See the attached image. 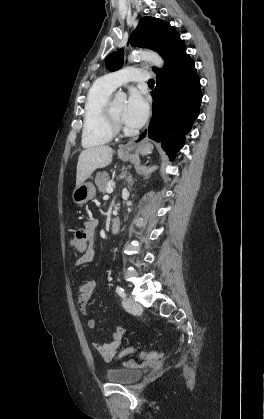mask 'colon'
Returning <instances> with one entry per match:
<instances>
[{
	"label": "colon",
	"instance_id": "obj_1",
	"mask_svg": "<svg viewBox=\"0 0 264 419\" xmlns=\"http://www.w3.org/2000/svg\"><path fill=\"white\" fill-rule=\"evenodd\" d=\"M88 242H89V236L85 229L80 228L77 229L71 239V247L74 250V252L78 254H85L88 250ZM136 353V350L133 348H125L123 349L119 356H124L127 354ZM164 355L163 352H157V351H148V352H140L139 356L146 360H155Z\"/></svg>",
	"mask_w": 264,
	"mask_h": 419
}]
</instances>
